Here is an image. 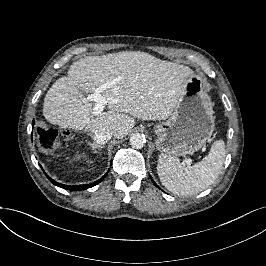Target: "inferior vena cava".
Wrapping results in <instances>:
<instances>
[{
	"label": "inferior vena cava",
	"mask_w": 266,
	"mask_h": 266,
	"mask_svg": "<svg viewBox=\"0 0 266 266\" xmlns=\"http://www.w3.org/2000/svg\"><path fill=\"white\" fill-rule=\"evenodd\" d=\"M113 134L109 130H97L93 131V140L99 144H106Z\"/></svg>",
	"instance_id": "1"
}]
</instances>
